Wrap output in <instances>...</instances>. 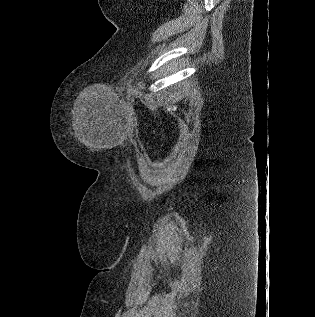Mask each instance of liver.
Returning a JSON list of instances; mask_svg holds the SVG:
<instances>
[{"label": "liver", "instance_id": "obj_1", "mask_svg": "<svg viewBox=\"0 0 315 317\" xmlns=\"http://www.w3.org/2000/svg\"><path fill=\"white\" fill-rule=\"evenodd\" d=\"M78 118V116H77V114H75V119H77ZM76 124H78V122L76 121ZM78 127L79 126H76V130H78Z\"/></svg>", "mask_w": 315, "mask_h": 317}]
</instances>
